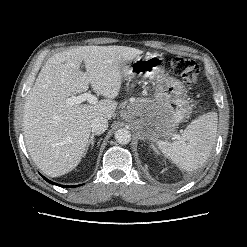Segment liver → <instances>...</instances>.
<instances>
[{"label": "liver", "mask_w": 247, "mask_h": 247, "mask_svg": "<svg viewBox=\"0 0 247 247\" xmlns=\"http://www.w3.org/2000/svg\"><path fill=\"white\" fill-rule=\"evenodd\" d=\"M141 53L127 46H79L47 60L27 95L23 115L27 150L46 175L62 176L80 163L92 120L112 118L123 79L121 69ZM82 62L86 72L80 70ZM89 85L106 99L96 104L66 103Z\"/></svg>", "instance_id": "6515ba94"}]
</instances>
